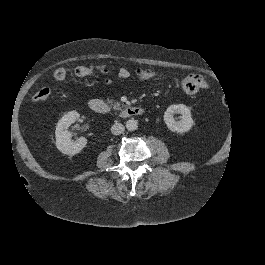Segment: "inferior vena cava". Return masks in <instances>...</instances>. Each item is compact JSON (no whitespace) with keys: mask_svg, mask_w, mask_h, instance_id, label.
Returning a JSON list of instances; mask_svg holds the SVG:
<instances>
[{"mask_svg":"<svg viewBox=\"0 0 265 265\" xmlns=\"http://www.w3.org/2000/svg\"><path fill=\"white\" fill-rule=\"evenodd\" d=\"M124 126L120 123H115L111 127V132L115 135H119L124 132Z\"/></svg>","mask_w":265,"mask_h":265,"instance_id":"obj_1","label":"inferior vena cava"}]
</instances>
